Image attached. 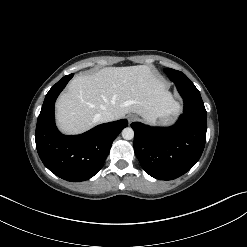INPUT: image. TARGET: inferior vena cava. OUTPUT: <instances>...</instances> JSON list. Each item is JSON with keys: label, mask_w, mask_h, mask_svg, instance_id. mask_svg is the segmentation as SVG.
I'll return each mask as SVG.
<instances>
[{"label": "inferior vena cava", "mask_w": 247, "mask_h": 247, "mask_svg": "<svg viewBox=\"0 0 247 247\" xmlns=\"http://www.w3.org/2000/svg\"><path fill=\"white\" fill-rule=\"evenodd\" d=\"M97 121L105 123V122H110L115 120V117L112 113L110 112H103L101 114H98L96 116Z\"/></svg>", "instance_id": "602c4592"}]
</instances>
